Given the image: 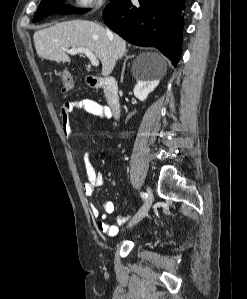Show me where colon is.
<instances>
[{
    "instance_id": "1",
    "label": "colon",
    "mask_w": 247,
    "mask_h": 299,
    "mask_svg": "<svg viewBox=\"0 0 247 299\" xmlns=\"http://www.w3.org/2000/svg\"><path fill=\"white\" fill-rule=\"evenodd\" d=\"M61 80L63 83V90L65 92L71 91L73 89L74 86L73 78L69 72L67 71L61 72Z\"/></svg>"
}]
</instances>
